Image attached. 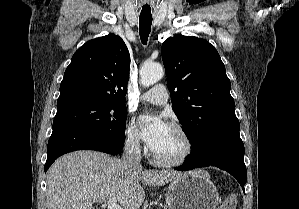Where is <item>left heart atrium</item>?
<instances>
[{
	"instance_id": "left-heart-atrium-1",
	"label": "left heart atrium",
	"mask_w": 299,
	"mask_h": 209,
	"mask_svg": "<svg viewBox=\"0 0 299 209\" xmlns=\"http://www.w3.org/2000/svg\"><path fill=\"white\" fill-rule=\"evenodd\" d=\"M139 124L142 138L151 149L162 140L170 128L161 114H144L140 116Z\"/></svg>"
}]
</instances>
